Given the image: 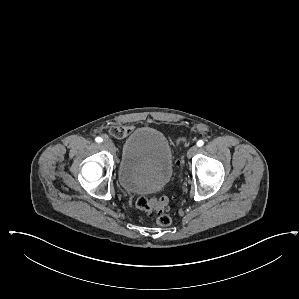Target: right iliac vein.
I'll return each instance as SVG.
<instances>
[{"mask_svg": "<svg viewBox=\"0 0 299 299\" xmlns=\"http://www.w3.org/2000/svg\"><path fill=\"white\" fill-rule=\"evenodd\" d=\"M103 144L112 153L116 152L115 146L110 140H108V139L104 140Z\"/></svg>", "mask_w": 299, "mask_h": 299, "instance_id": "right-iliac-vein-1", "label": "right iliac vein"}]
</instances>
